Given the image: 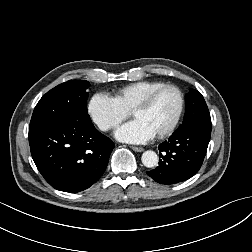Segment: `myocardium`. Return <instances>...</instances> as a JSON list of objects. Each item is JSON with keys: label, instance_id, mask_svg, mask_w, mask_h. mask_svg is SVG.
Instances as JSON below:
<instances>
[{"label": "myocardium", "instance_id": "myocardium-1", "mask_svg": "<svg viewBox=\"0 0 252 252\" xmlns=\"http://www.w3.org/2000/svg\"><path fill=\"white\" fill-rule=\"evenodd\" d=\"M165 90H173L177 93L179 105H178V109H177L176 115H175L172 123L164 131L155 135L158 139H163V138L170 136L175 131V129L177 128V126L181 120V117L183 115V111L185 108V96H184L182 90L176 85L164 84V85L152 90L151 92H149L131 110V114H133L136 111L144 110V109L148 108L151 105V103L154 101L156 96Z\"/></svg>", "mask_w": 252, "mask_h": 252}]
</instances>
